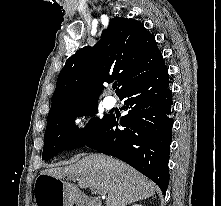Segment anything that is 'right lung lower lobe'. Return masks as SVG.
<instances>
[{"label":"right lung lower lobe","instance_id":"obj_1","mask_svg":"<svg viewBox=\"0 0 221 206\" xmlns=\"http://www.w3.org/2000/svg\"><path fill=\"white\" fill-rule=\"evenodd\" d=\"M120 99L128 113L120 122L111 116L85 146L128 163L153 180L165 195L173 102L164 61L125 89Z\"/></svg>","mask_w":221,"mask_h":206}]
</instances>
